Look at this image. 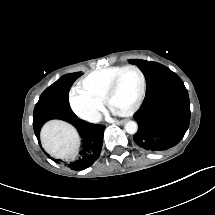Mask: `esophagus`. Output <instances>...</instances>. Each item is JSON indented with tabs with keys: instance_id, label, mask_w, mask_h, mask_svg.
Wrapping results in <instances>:
<instances>
[{
	"instance_id": "1",
	"label": "esophagus",
	"mask_w": 215,
	"mask_h": 215,
	"mask_svg": "<svg viewBox=\"0 0 215 215\" xmlns=\"http://www.w3.org/2000/svg\"><path fill=\"white\" fill-rule=\"evenodd\" d=\"M121 123H123V122H120V121H119V122H117V124H121Z\"/></svg>"
}]
</instances>
